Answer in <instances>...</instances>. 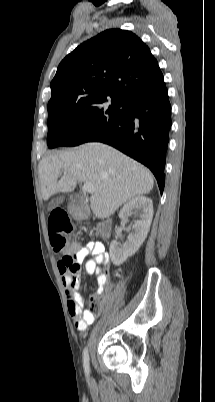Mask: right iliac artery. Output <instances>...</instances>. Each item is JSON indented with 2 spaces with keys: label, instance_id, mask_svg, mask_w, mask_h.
<instances>
[{
  "label": "right iliac artery",
  "instance_id": "1",
  "mask_svg": "<svg viewBox=\"0 0 215 402\" xmlns=\"http://www.w3.org/2000/svg\"><path fill=\"white\" fill-rule=\"evenodd\" d=\"M83 367H84L85 373L88 375L90 372V368H89V354H88L87 348H85L83 351Z\"/></svg>",
  "mask_w": 215,
  "mask_h": 402
}]
</instances>
